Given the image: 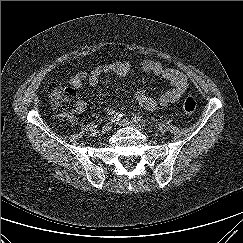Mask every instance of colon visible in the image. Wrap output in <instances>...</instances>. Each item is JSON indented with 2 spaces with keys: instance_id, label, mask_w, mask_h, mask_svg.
<instances>
[{
  "instance_id": "5ec220e1",
  "label": "colon",
  "mask_w": 243,
  "mask_h": 243,
  "mask_svg": "<svg viewBox=\"0 0 243 243\" xmlns=\"http://www.w3.org/2000/svg\"><path fill=\"white\" fill-rule=\"evenodd\" d=\"M48 93L53 111L58 117L66 118L75 110L76 100L70 89H65L57 84H50ZM181 107L186 114H192L196 109V101L192 96L186 95L181 101Z\"/></svg>"
}]
</instances>
